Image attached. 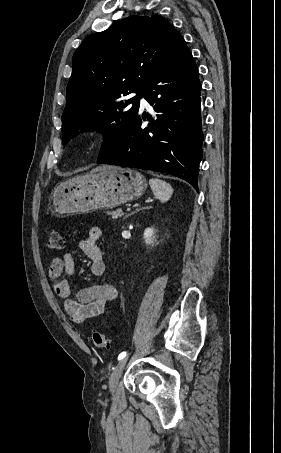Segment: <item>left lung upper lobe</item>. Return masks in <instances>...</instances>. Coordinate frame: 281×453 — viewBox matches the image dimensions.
I'll use <instances>...</instances> for the list:
<instances>
[{
    "mask_svg": "<svg viewBox=\"0 0 281 453\" xmlns=\"http://www.w3.org/2000/svg\"><path fill=\"white\" fill-rule=\"evenodd\" d=\"M176 35L180 33L161 16L132 15L85 38L74 53L67 85L64 145L78 130H99L105 137L99 159L115 146L137 117L139 99ZM130 93L136 96L123 100Z\"/></svg>",
    "mask_w": 281,
    "mask_h": 453,
    "instance_id": "left-lung-upper-lobe-1",
    "label": "left lung upper lobe"
}]
</instances>
